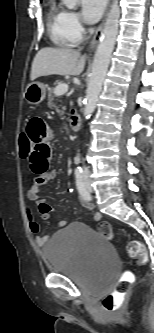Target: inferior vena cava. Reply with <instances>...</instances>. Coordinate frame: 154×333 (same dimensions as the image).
Instances as JSON below:
<instances>
[{"mask_svg":"<svg viewBox=\"0 0 154 333\" xmlns=\"http://www.w3.org/2000/svg\"><path fill=\"white\" fill-rule=\"evenodd\" d=\"M90 32L93 33V29H91ZM83 172L86 173V174H88L89 173L88 168L84 166Z\"/></svg>","mask_w":154,"mask_h":333,"instance_id":"602c4592","label":"inferior vena cava"}]
</instances>
